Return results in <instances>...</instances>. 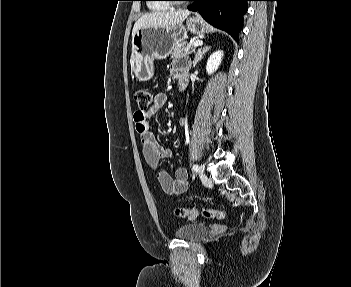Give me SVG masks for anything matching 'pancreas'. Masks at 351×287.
I'll return each instance as SVG.
<instances>
[{"mask_svg":"<svg viewBox=\"0 0 351 287\" xmlns=\"http://www.w3.org/2000/svg\"><path fill=\"white\" fill-rule=\"evenodd\" d=\"M192 44L193 43L188 44L185 41L176 43L172 48L171 58L179 59V58L188 56V54H190V48ZM194 50H195V47H192L191 51H194Z\"/></svg>","mask_w":351,"mask_h":287,"instance_id":"1","label":"pancreas"}]
</instances>
